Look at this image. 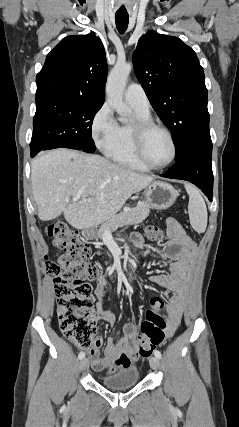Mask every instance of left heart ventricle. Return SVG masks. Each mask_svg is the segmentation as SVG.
<instances>
[{
  "label": "left heart ventricle",
  "instance_id": "1",
  "mask_svg": "<svg viewBox=\"0 0 239 427\" xmlns=\"http://www.w3.org/2000/svg\"><path fill=\"white\" fill-rule=\"evenodd\" d=\"M145 155L154 165L166 163L172 156V145L167 135L159 130L149 133L145 143Z\"/></svg>",
  "mask_w": 239,
  "mask_h": 427
}]
</instances>
